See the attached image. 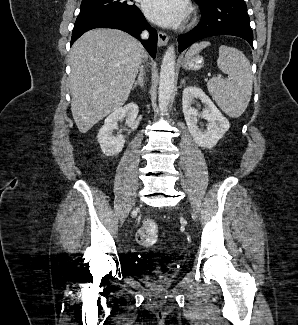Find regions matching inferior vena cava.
<instances>
[{"mask_svg": "<svg viewBox=\"0 0 298 325\" xmlns=\"http://www.w3.org/2000/svg\"><path fill=\"white\" fill-rule=\"evenodd\" d=\"M140 36L141 38H149L150 32H148V30H142Z\"/></svg>", "mask_w": 298, "mask_h": 325, "instance_id": "1", "label": "inferior vena cava"}]
</instances>
